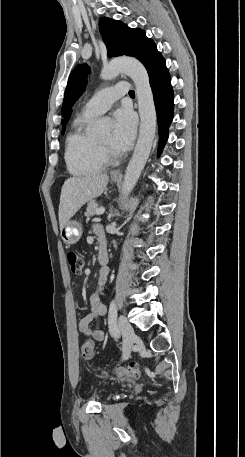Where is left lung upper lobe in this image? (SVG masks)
Segmentation results:
<instances>
[{
    "instance_id": "1",
    "label": "left lung upper lobe",
    "mask_w": 245,
    "mask_h": 457,
    "mask_svg": "<svg viewBox=\"0 0 245 457\" xmlns=\"http://www.w3.org/2000/svg\"><path fill=\"white\" fill-rule=\"evenodd\" d=\"M99 29L106 44L108 56L127 55L143 61L152 51L157 50L156 44L146 37L141 29H132L120 21L103 17ZM87 65H77L69 76L62 105V115L67 114L71 106L81 96L87 84Z\"/></svg>"
}]
</instances>
